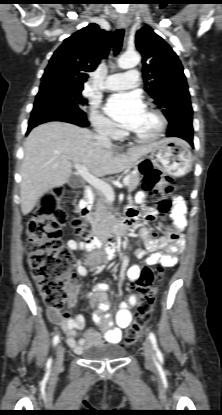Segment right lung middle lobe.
Returning <instances> with one entry per match:
<instances>
[{
    "mask_svg": "<svg viewBox=\"0 0 222 415\" xmlns=\"http://www.w3.org/2000/svg\"><path fill=\"white\" fill-rule=\"evenodd\" d=\"M59 86H60L61 90L65 94H67L77 105L86 103V99H84L81 95V92L83 90L82 88L65 86V85H62V84H60Z\"/></svg>",
    "mask_w": 222,
    "mask_h": 415,
    "instance_id": "dd1d6c3e",
    "label": "right lung middle lobe"
}]
</instances>
